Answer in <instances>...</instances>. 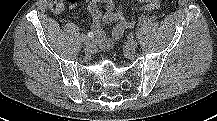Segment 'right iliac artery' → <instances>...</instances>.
<instances>
[{"label":"right iliac artery","mask_w":217,"mask_h":121,"mask_svg":"<svg viewBox=\"0 0 217 121\" xmlns=\"http://www.w3.org/2000/svg\"><path fill=\"white\" fill-rule=\"evenodd\" d=\"M82 41L85 43V44H95L96 43V41L94 40V39H92V38H90V37H88V36H86V35H83L82 36Z\"/></svg>","instance_id":"1"}]
</instances>
